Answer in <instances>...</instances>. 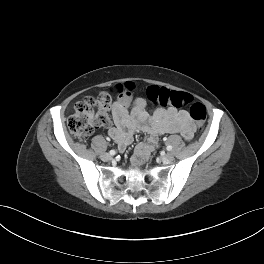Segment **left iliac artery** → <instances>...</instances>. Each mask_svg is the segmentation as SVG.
I'll list each match as a JSON object with an SVG mask.
<instances>
[{"label":"left iliac artery","instance_id":"1","mask_svg":"<svg viewBox=\"0 0 264 264\" xmlns=\"http://www.w3.org/2000/svg\"><path fill=\"white\" fill-rule=\"evenodd\" d=\"M167 150H168V151H171V150H172V146H171V145H168V146H167Z\"/></svg>","mask_w":264,"mask_h":264}]
</instances>
